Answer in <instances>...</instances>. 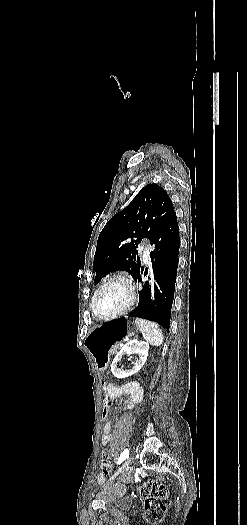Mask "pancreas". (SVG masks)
Instances as JSON below:
<instances>
[{"label":"pancreas","mask_w":247,"mask_h":525,"mask_svg":"<svg viewBox=\"0 0 247 525\" xmlns=\"http://www.w3.org/2000/svg\"><path fill=\"white\" fill-rule=\"evenodd\" d=\"M110 351L112 352V355H115V352L117 351V348L115 346H112L110 348Z\"/></svg>","instance_id":"pancreas-1"}]
</instances>
